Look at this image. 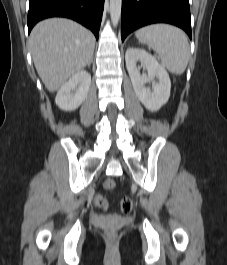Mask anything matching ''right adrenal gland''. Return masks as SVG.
Returning a JSON list of instances; mask_svg holds the SVG:
<instances>
[{
	"label": "right adrenal gland",
	"mask_w": 227,
	"mask_h": 265,
	"mask_svg": "<svg viewBox=\"0 0 227 265\" xmlns=\"http://www.w3.org/2000/svg\"><path fill=\"white\" fill-rule=\"evenodd\" d=\"M92 62H93V56H92L91 60L89 61L88 66H90Z\"/></svg>",
	"instance_id": "right-adrenal-gland-1"
}]
</instances>
